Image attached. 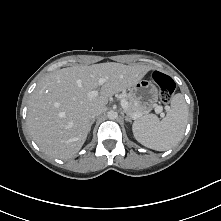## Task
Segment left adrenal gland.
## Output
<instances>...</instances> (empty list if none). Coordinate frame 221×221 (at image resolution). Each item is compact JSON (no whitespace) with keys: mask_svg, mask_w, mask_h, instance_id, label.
Masks as SVG:
<instances>
[{"mask_svg":"<svg viewBox=\"0 0 221 221\" xmlns=\"http://www.w3.org/2000/svg\"><path fill=\"white\" fill-rule=\"evenodd\" d=\"M124 117H125V121H126V122H130V123L132 122L131 119L128 117V115H126V116H124Z\"/></svg>","mask_w":221,"mask_h":221,"instance_id":"obj_1","label":"left adrenal gland"}]
</instances>
